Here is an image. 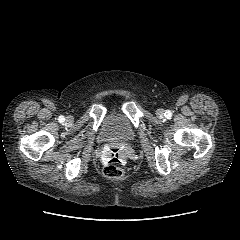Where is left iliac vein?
<instances>
[{
  "label": "left iliac vein",
  "instance_id": "obj_1",
  "mask_svg": "<svg viewBox=\"0 0 240 240\" xmlns=\"http://www.w3.org/2000/svg\"><path fill=\"white\" fill-rule=\"evenodd\" d=\"M156 115L158 117H163L164 116V110L163 109H157L156 110Z\"/></svg>",
  "mask_w": 240,
  "mask_h": 240
}]
</instances>
